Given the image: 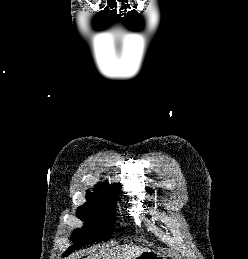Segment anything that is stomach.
Here are the masks:
<instances>
[{"label":"stomach","instance_id":"obj_1","mask_svg":"<svg viewBox=\"0 0 248 259\" xmlns=\"http://www.w3.org/2000/svg\"><path fill=\"white\" fill-rule=\"evenodd\" d=\"M135 259H166L161 253L147 249L146 251L142 252L139 256Z\"/></svg>","mask_w":248,"mask_h":259}]
</instances>
